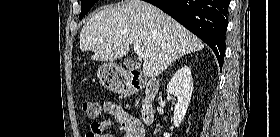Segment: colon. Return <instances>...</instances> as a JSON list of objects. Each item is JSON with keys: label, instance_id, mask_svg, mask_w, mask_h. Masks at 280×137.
Segmentation results:
<instances>
[{"label": "colon", "instance_id": "5ec220e1", "mask_svg": "<svg viewBox=\"0 0 280 137\" xmlns=\"http://www.w3.org/2000/svg\"><path fill=\"white\" fill-rule=\"evenodd\" d=\"M81 108L83 112L86 113L90 118L97 117L100 110L99 103L94 100H84L82 102ZM130 129H131L130 137L138 136L139 127L136 124H131Z\"/></svg>", "mask_w": 280, "mask_h": 137}]
</instances>
